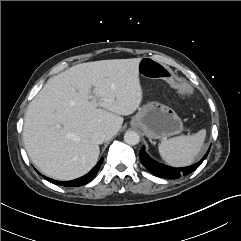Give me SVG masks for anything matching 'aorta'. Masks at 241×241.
Segmentation results:
<instances>
[{"instance_id": "762f6f07", "label": "aorta", "mask_w": 241, "mask_h": 241, "mask_svg": "<svg viewBox=\"0 0 241 241\" xmlns=\"http://www.w3.org/2000/svg\"><path fill=\"white\" fill-rule=\"evenodd\" d=\"M124 141L129 145H137L140 142V136L134 131H127L124 135Z\"/></svg>"}]
</instances>
